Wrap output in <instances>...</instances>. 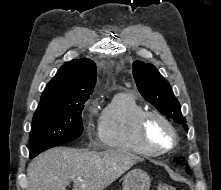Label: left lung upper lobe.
<instances>
[{"label":"left lung upper lobe","instance_id":"5c2ea615","mask_svg":"<svg viewBox=\"0 0 221 190\" xmlns=\"http://www.w3.org/2000/svg\"><path fill=\"white\" fill-rule=\"evenodd\" d=\"M132 73L141 95L162 114L173 118L188 131L186 119L181 114L180 104L169 83L158 70L152 64L135 61ZM186 171L190 173L188 168Z\"/></svg>","mask_w":221,"mask_h":190}]
</instances>
